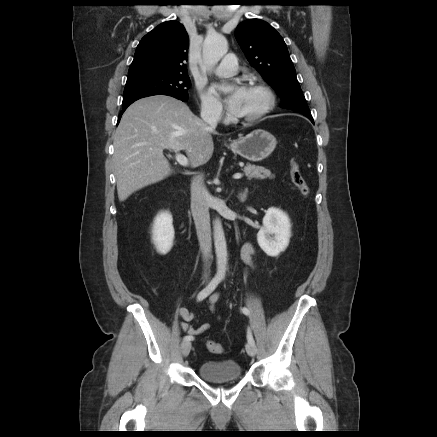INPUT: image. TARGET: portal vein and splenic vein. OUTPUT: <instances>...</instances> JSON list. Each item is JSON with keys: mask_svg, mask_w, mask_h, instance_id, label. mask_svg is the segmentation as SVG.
I'll use <instances>...</instances> for the list:
<instances>
[{"mask_svg": "<svg viewBox=\"0 0 437 437\" xmlns=\"http://www.w3.org/2000/svg\"><path fill=\"white\" fill-rule=\"evenodd\" d=\"M175 159L180 165L185 167L188 166V159L183 154L177 153L175 155ZM241 177L242 175L240 173H236L233 175L234 179H240Z\"/></svg>", "mask_w": 437, "mask_h": 437, "instance_id": "1", "label": "portal vein and splenic vein"}]
</instances>
